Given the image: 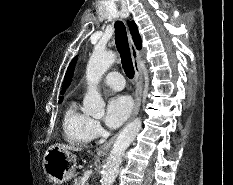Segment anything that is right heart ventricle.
<instances>
[{
    "label": "right heart ventricle",
    "instance_id": "e07e8e85",
    "mask_svg": "<svg viewBox=\"0 0 233 185\" xmlns=\"http://www.w3.org/2000/svg\"><path fill=\"white\" fill-rule=\"evenodd\" d=\"M91 118L83 113L76 101H72L63 116V131L66 140L73 145H85L91 141L89 133Z\"/></svg>",
    "mask_w": 233,
    "mask_h": 185
}]
</instances>
